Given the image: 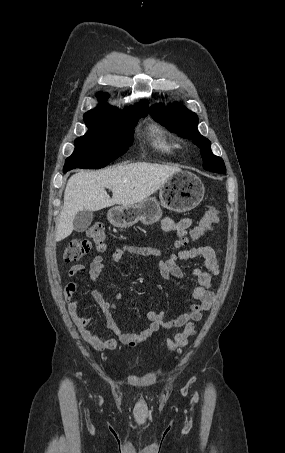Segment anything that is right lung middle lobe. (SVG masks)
Returning <instances> with one entry per match:
<instances>
[{"instance_id":"obj_1","label":"right lung middle lobe","mask_w":285,"mask_h":453,"mask_svg":"<svg viewBox=\"0 0 285 453\" xmlns=\"http://www.w3.org/2000/svg\"><path fill=\"white\" fill-rule=\"evenodd\" d=\"M148 112L112 114L88 111L84 120L88 132L75 140V150L65 166L99 169L124 154L132 145L134 127Z\"/></svg>"}]
</instances>
